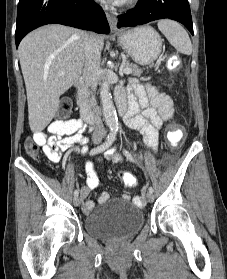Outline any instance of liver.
Listing matches in <instances>:
<instances>
[{
	"mask_svg": "<svg viewBox=\"0 0 227 279\" xmlns=\"http://www.w3.org/2000/svg\"><path fill=\"white\" fill-rule=\"evenodd\" d=\"M93 36L102 50L103 38ZM86 41L85 32L63 25H46L21 41L18 54L32 132L42 131L51 122L60 96L80 78Z\"/></svg>",
	"mask_w": 227,
	"mask_h": 279,
	"instance_id": "obj_1",
	"label": "liver"
}]
</instances>
